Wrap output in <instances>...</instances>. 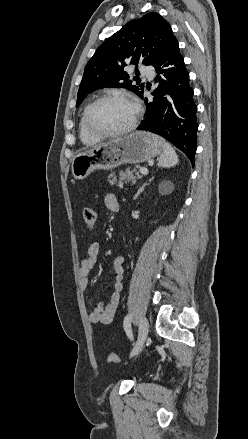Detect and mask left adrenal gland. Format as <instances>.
I'll return each instance as SVG.
<instances>
[{
    "instance_id": "obj_1",
    "label": "left adrenal gland",
    "mask_w": 248,
    "mask_h": 439,
    "mask_svg": "<svg viewBox=\"0 0 248 439\" xmlns=\"http://www.w3.org/2000/svg\"><path fill=\"white\" fill-rule=\"evenodd\" d=\"M154 179V177H151L149 179L148 182H145L137 191V193L134 196V199H137V197L140 195V193H142L144 191L145 186H147L152 180Z\"/></svg>"
}]
</instances>
